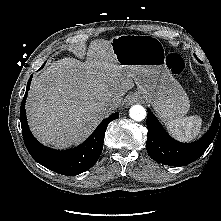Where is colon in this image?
Listing matches in <instances>:
<instances>
[{"instance_id":"1","label":"colon","mask_w":221,"mask_h":221,"mask_svg":"<svg viewBox=\"0 0 221 221\" xmlns=\"http://www.w3.org/2000/svg\"><path fill=\"white\" fill-rule=\"evenodd\" d=\"M167 65L171 72L178 76H184L186 73V62L177 53H172L167 58Z\"/></svg>"}]
</instances>
